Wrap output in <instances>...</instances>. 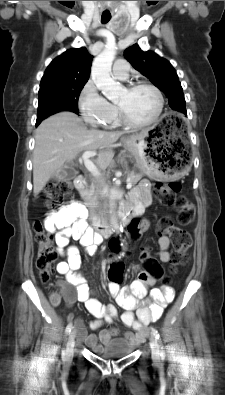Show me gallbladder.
I'll use <instances>...</instances> for the list:
<instances>
[{"mask_svg": "<svg viewBox=\"0 0 225 395\" xmlns=\"http://www.w3.org/2000/svg\"><path fill=\"white\" fill-rule=\"evenodd\" d=\"M78 174L77 170L70 165L63 166L53 177L55 181L71 180Z\"/></svg>", "mask_w": 225, "mask_h": 395, "instance_id": "gallbladder-1", "label": "gallbladder"}]
</instances>
